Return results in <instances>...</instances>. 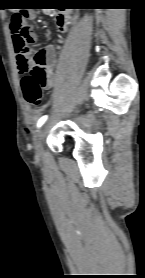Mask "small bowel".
Instances as JSON below:
<instances>
[{
	"mask_svg": "<svg viewBox=\"0 0 145 278\" xmlns=\"http://www.w3.org/2000/svg\"><path fill=\"white\" fill-rule=\"evenodd\" d=\"M49 10L45 9L44 12L47 13ZM30 19H35L37 12L35 8H31L30 10ZM56 24L58 29L61 32H69L71 29L70 25V18L67 14H58L56 17ZM12 36V33H11ZM39 36L35 30H31L28 33V42L30 44H36L38 42ZM13 40V36H12ZM15 54H16V61L18 70L21 73H28L35 65V61L32 58L27 57L25 54H19L16 50L14 45ZM40 54L42 55L43 59L45 60V71H46V81L43 85V88L47 89L52 87L54 84V69H55V57H56V47L54 43H49L45 47L40 48L36 51L35 55ZM34 55V56H35Z\"/></svg>",
	"mask_w": 145,
	"mask_h": 278,
	"instance_id": "small-bowel-1",
	"label": "small bowel"
}]
</instances>
